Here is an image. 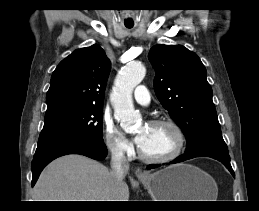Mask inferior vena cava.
Returning a JSON list of instances; mask_svg holds the SVG:
<instances>
[{
  "instance_id": "inferior-vena-cava-1",
  "label": "inferior vena cava",
  "mask_w": 259,
  "mask_h": 211,
  "mask_svg": "<svg viewBox=\"0 0 259 211\" xmlns=\"http://www.w3.org/2000/svg\"><path fill=\"white\" fill-rule=\"evenodd\" d=\"M129 170V162L120 149H112L111 157V178L115 185H120L124 182V178Z\"/></svg>"
}]
</instances>
